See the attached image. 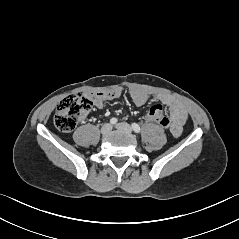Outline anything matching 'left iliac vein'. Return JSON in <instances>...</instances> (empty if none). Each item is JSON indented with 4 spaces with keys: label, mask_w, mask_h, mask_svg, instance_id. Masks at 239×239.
Wrapping results in <instances>:
<instances>
[{
    "label": "left iliac vein",
    "mask_w": 239,
    "mask_h": 239,
    "mask_svg": "<svg viewBox=\"0 0 239 239\" xmlns=\"http://www.w3.org/2000/svg\"><path fill=\"white\" fill-rule=\"evenodd\" d=\"M115 127L118 130H122V131H125L127 133H131L132 132L131 126L129 124H127V123H118Z\"/></svg>",
    "instance_id": "left-iliac-vein-1"
}]
</instances>
